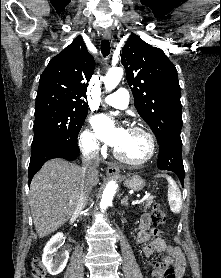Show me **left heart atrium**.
I'll list each match as a JSON object with an SVG mask.
<instances>
[{
  "mask_svg": "<svg viewBox=\"0 0 221 278\" xmlns=\"http://www.w3.org/2000/svg\"><path fill=\"white\" fill-rule=\"evenodd\" d=\"M94 125L100 138L107 144L117 148L124 139L126 130L123 128H115L113 121L106 115H99L94 119Z\"/></svg>",
  "mask_w": 221,
  "mask_h": 278,
  "instance_id": "left-heart-atrium-1",
  "label": "left heart atrium"
}]
</instances>
